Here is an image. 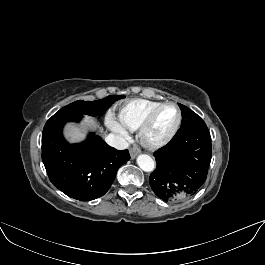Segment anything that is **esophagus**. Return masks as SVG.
I'll use <instances>...</instances> for the list:
<instances>
[{
  "label": "esophagus",
  "instance_id": "34e87169",
  "mask_svg": "<svg viewBox=\"0 0 265 265\" xmlns=\"http://www.w3.org/2000/svg\"><path fill=\"white\" fill-rule=\"evenodd\" d=\"M138 155V151L135 148L130 149V156L134 159Z\"/></svg>",
  "mask_w": 265,
  "mask_h": 265
}]
</instances>
